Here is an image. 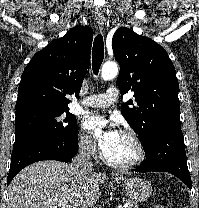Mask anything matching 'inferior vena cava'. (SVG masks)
Returning a JSON list of instances; mask_svg holds the SVG:
<instances>
[{
  "label": "inferior vena cava",
  "mask_w": 199,
  "mask_h": 208,
  "mask_svg": "<svg viewBox=\"0 0 199 208\" xmlns=\"http://www.w3.org/2000/svg\"><path fill=\"white\" fill-rule=\"evenodd\" d=\"M92 151L93 145L91 142H86L85 144L81 145L78 155L73 160V166L81 172H92Z\"/></svg>",
  "instance_id": "602c4592"
}]
</instances>
